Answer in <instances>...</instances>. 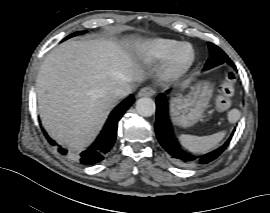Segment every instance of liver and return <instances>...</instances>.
I'll return each mask as SVG.
<instances>
[{
  "label": "liver",
  "instance_id": "1",
  "mask_svg": "<svg viewBox=\"0 0 270 213\" xmlns=\"http://www.w3.org/2000/svg\"><path fill=\"white\" fill-rule=\"evenodd\" d=\"M142 74L112 40L66 41L42 63L36 92L44 127L61 144L87 146L101 130L118 99L117 86L130 87Z\"/></svg>",
  "mask_w": 270,
  "mask_h": 213
}]
</instances>
